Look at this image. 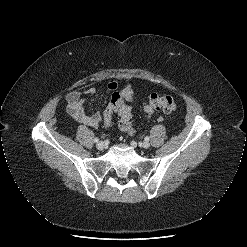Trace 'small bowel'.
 <instances>
[{"mask_svg": "<svg viewBox=\"0 0 247 247\" xmlns=\"http://www.w3.org/2000/svg\"><path fill=\"white\" fill-rule=\"evenodd\" d=\"M107 88L112 92H116L119 89V82L116 79H112L108 82ZM96 91L97 88L90 87L83 92L73 91L67 96V111L69 115L77 122L90 127H98L103 119L101 113L87 114L83 108L84 97L92 95Z\"/></svg>", "mask_w": 247, "mask_h": 247, "instance_id": "obj_1", "label": "small bowel"}]
</instances>
